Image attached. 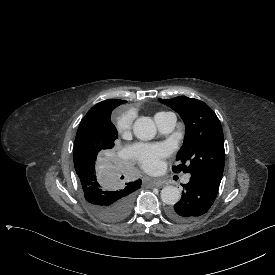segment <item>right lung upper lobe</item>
Returning a JSON list of instances; mask_svg holds the SVG:
<instances>
[{
    "mask_svg": "<svg viewBox=\"0 0 275 275\" xmlns=\"http://www.w3.org/2000/svg\"><path fill=\"white\" fill-rule=\"evenodd\" d=\"M123 103H126V101L118 99H109L102 101L93 106L85 115V118H100L109 116L111 115V112L114 108ZM135 182H141V180H137Z\"/></svg>",
    "mask_w": 275,
    "mask_h": 275,
    "instance_id": "1",
    "label": "right lung upper lobe"
}]
</instances>
